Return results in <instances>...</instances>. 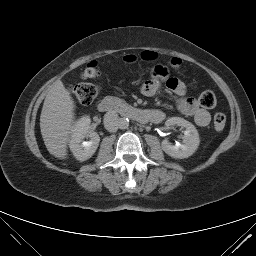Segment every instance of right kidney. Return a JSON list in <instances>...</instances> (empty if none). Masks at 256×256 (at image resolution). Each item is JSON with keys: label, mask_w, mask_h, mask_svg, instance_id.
Returning a JSON list of instances; mask_svg holds the SVG:
<instances>
[{"label": "right kidney", "mask_w": 256, "mask_h": 256, "mask_svg": "<svg viewBox=\"0 0 256 256\" xmlns=\"http://www.w3.org/2000/svg\"><path fill=\"white\" fill-rule=\"evenodd\" d=\"M90 117L83 116L73 126L69 147L77 160L85 161L89 159L97 150L100 137L90 129ZM89 141H84L85 138Z\"/></svg>", "instance_id": "obj_1"}]
</instances>
